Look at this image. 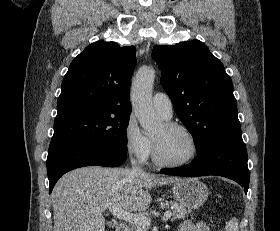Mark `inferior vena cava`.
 Segmentation results:
<instances>
[{"instance_id": "inferior-vena-cava-1", "label": "inferior vena cava", "mask_w": 280, "mask_h": 231, "mask_svg": "<svg viewBox=\"0 0 280 231\" xmlns=\"http://www.w3.org/2000/svg\"><path fill=\"white\" fill-rule=\"evenodd\" d=\"M131 163H132V173H138V171H141V169L137 167L136 161H134V159H131Z\"/></svg>"}]
</instances>
